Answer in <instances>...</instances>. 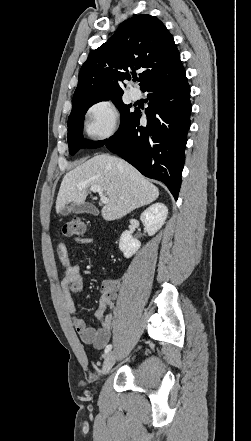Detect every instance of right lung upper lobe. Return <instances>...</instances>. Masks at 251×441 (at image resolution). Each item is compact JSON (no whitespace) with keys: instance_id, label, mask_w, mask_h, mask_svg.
<instances>
[{"instance_id":"1","label":"right lung upper lobe","mask_w":251,"mask_h":441,"mask_svg":"<svg viewBox=\"0 0 251 441\" xmlns=\"http://www.w3.org/2000/svg\"><path fill=\"white\" fill-rule=\"evenodd\" d=\"M182 65L173 36L151 15H136L124 21L109 40L93 50L79 73L73 101L92 97L122 96L123 81L143 69L141 90L157 77Z\"/></svg>"}]
</instances>
